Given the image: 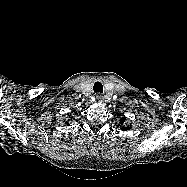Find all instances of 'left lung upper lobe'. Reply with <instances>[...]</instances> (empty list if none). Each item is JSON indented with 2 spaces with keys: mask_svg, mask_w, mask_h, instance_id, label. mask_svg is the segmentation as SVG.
I'll return each instance as SVG.
<instances>
[{
  "mask_svg": "<svg viewBox=\"0 0 187 187\" xmlns=\"http://www.w3.org/2000/svg\"><path fill=\"white\" fill-rule=\"evenodd\" d=\"M124 121H125V118H122L121 120H120V124H119V126L120 125H123L124 124ZM129 130V127L127 126V127H122V130Z\"/></svg>",
  "mask_w": 187,
  "mask_h": 187,
  "instance_id": "1",
  "label": "left lung upper lobe"
}]
</instances>
